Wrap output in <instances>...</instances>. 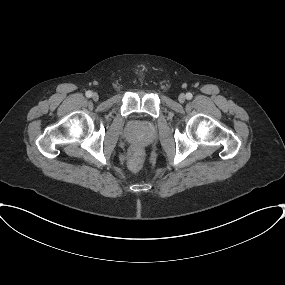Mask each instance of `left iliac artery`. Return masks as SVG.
<instances>
[{
    "label": "left iliac artery",
    "mask_w": 285,
    "mask_h": 285,
    "mask_svg": "<svg viewBox=\"0 0 285 285\" xmlns=\"http://www.w3.org/2000/svg\"><path fill=\"white\" fill-rule=\"evenodd\" d=\"M192 97H193L192 93L188 92V93L186 94V98H187L188 100L192 99Z\"/></svg>",
    "instance_id": "44dca946"
}]
</instances>
